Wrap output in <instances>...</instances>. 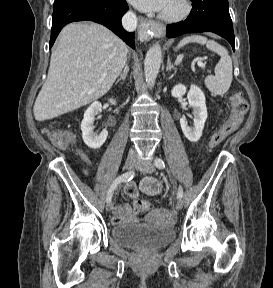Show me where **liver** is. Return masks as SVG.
Segmentation results:
<instances>
[{
  "label": "liver",
  "instance_id": "liver-1",
  "mask_svg": "<svg viewBox=\"0 0 273 288\" xmlns=\"http://www.w3.org/2000/svg\"><path fill=\"white\" fill-rule=\"evenodd\" d=\"M127 52L126 44L103 25L65 26L34 103L35 119L50 120L104 96L120 75Z\"/></svg>",
  "mask_w": 273,
  "mask_h": 288
}]
</instances>
